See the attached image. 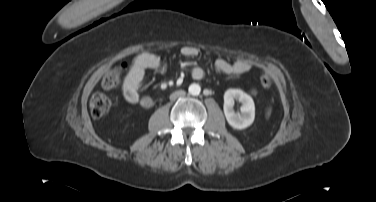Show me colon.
<instances>
[{
	"label": "colon",
	"instance_id": "1",
	"mask_svg": "<svg viewBox=\"0 0 376 202\" xmlns=\"http://www.w3.org/2000/svg\"><path fill=\"white\" fill-rule=\"evenodd\" d=\"M120 78L117 70L108 71L102 79L104 89H113L119 85ZM258 82L261 88L268 89L271 85L270 77L263 73L259 76ZM111 101L107 95L101 92L94 93L89 101L90 112L93 117L100 118L110 109Z\"/></svg>",
	"mask_w": 376,
	"mask_h": 202
}]
</instances>
